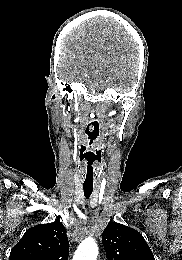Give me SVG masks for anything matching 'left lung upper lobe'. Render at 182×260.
<instances>
[{
	"mask_svg": "<svg viewBox=\"0 0 182 260\" xmlns=\"http://www.w3.org/2000/svg\"><path fill=\"white\" fill-rule=\"evenodd\" d=\"M108 260H155L143 236L120 223H109L102 235Z\"/></svg>",
	"mask_w": 182,
	"mask_h": 260,
	"instance_id": "obj_1",
	"label": "left lung upper lobe"
}]
</instances>
